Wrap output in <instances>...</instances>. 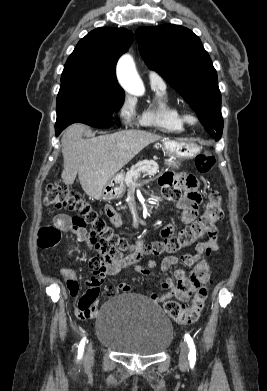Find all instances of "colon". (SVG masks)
<instances>
[{"mask_svg":"<svg viewBox=\"0 0 267 391\" xmlns=\"http://www.w3.org/2000/svg\"><path fill=\"white\" fill-rule=\"evenodd\" d=\"M215 164V158L209 151L199 153L195 165L199 173H209ZM46 206L56 210L68 209L78 213L77 220L92 227L89 245L99 254L110 250H131L132 261L143 255L175 254L180 250L203 241L217 233V222L223 217V201L220 194L213 191L209 194L203 213L199 218L185 226L177 235L164 237L151 243L131 245L125 238L116 234L107 222L91 207L89 202L77 191L68 187L63 181L48 185L44 196ZM61 238L55 227H43L39 231V245L43 248L55 246ZM209 294V282L200 286L189 306L169 300L164 304L165 312L178 324L190 325L196 322L204 308Z\"/></svg>","mask_w":267,"mask_h":391,"instance_id":"5ec220e1","label":"colon"}]
</instances>
